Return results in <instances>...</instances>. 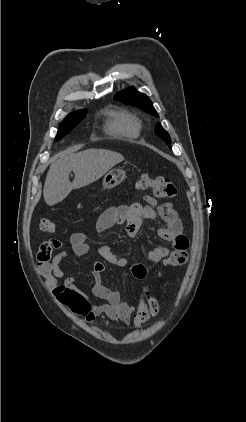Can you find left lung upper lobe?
Returning a JSON list of instances; mask_svg holds the SVG:
<instances>
[{
    "mask_svg": "<svg viewBox=\"0 0 246 422\" xmlns=\"http://www.w3.org/2000/svg\"><path fill=\"white\" fill-rule=\"evenodd\" d=\"M114 98L122 103L139 107L144 111L153 114L154 116H158V113L155 111L152 102L149 100V98L145 94L138 92L134 88H129L127 90L121 91L117 93ZM155 133L160 138H162L170 147V136L163 129L161 124L156 125Z\"/></svg>",
    "mask_w": 246,
    "mask_h": 422,
    "instance_id": "5c2ea615",
    "label": "left lung upper lobe"
}]
</instances>
